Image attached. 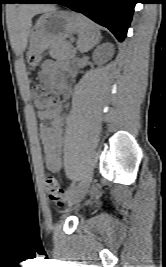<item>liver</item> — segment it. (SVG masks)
Instances as JSON below:
<instances>
[{
  "label": "liver",
  "mask_w": 166,
  "mask_h": 267,
  "mask_svg": "<svg viewBox=\"0 0 166 267\" xmlns=\"http://www.w3.org/2000/svg\"><path fill=\"white\" fill-rule=\"evenodd\" d=\"M56 8L51 5H22L18 9V13L14 18L12 27V46L23 52L28 43V37L31 31V20L39 13H47L54 11Z\"/></svg>",
  "instance_id": "6515ba94"
}]
</instances>
